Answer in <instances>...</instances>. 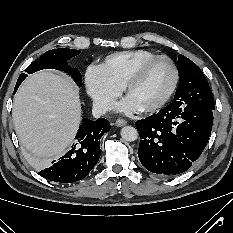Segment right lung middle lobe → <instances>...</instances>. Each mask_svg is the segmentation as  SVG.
I'll return each mask as SVG.
<instances>
[{
	"label": "right lung middle lobe",
	"mask_w": 233,
	"mask_h": 233,
	"mask_svg": "<svg viewBox=\"0 0 233 233\" xmlns=\"http://www.w3.org/2000/svg\"><path fill=\"white\" fill-rule=\"evenodd\" d=\"M81 51L68 48L52 49L44 53L34 62H32L25 72L32 74L42 69H56L67 72L74 79L76 84L80 87L82 85V77L78 69L71 68L67 61L74 56L80 54ZM27 74L21 73L18 79L24 80Z\"/></svg>",
	"instance_id": "dd1d6c3e"
}]
</instances>
